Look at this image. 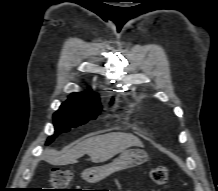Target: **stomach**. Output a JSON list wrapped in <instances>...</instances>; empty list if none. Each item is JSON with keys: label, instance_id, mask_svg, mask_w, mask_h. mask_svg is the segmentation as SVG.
I'll use <instances>...</instances> for the list:
<instances>
[{"label": "stomach", "instance_id": "0dacf381", "mask_svg": "<svg viewBox=\"0 0 218 191\" xmlns=\"http://www.w3.org/2000/svg\"><path fill=\"white\" fill-rule=\"evenodd\" d=\"M147 159L148 155L142 150H125L111 163L85 170L82 173V178L87 182L96 183L116 171L143 164Z\"/></svg>", "mask_w": 218, "mask_h": 191}]
</instances>
